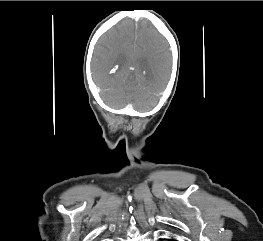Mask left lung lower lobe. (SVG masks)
I'll list each match as a JSON object with an SVG mask.
<instances>
[{
  "label": "left lung lower lobe",
  "mask_w": 263,
  "mask_h": 241,
  "mask_svg": "<svg viewBox=\"0 0 263 241\" xmlns=\"http://www.w3.org/2000/svg\"><path fill=\"white\" fill-rule=\"evenodd\" d=\"M169 241H176V240H174V239H171V240H169Z\"/></svg>",
  "instance_id": "0a47b994"
}]
</instances>
